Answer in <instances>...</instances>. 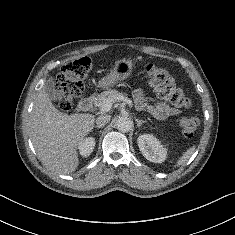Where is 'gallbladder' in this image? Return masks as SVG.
I'll return each mask as SVG.
<instances>
[{
    "label": "gallbladder",
    "mask_w": 235,
    "mask_h": 235,
    "mask_svg": "<svg viewBox=\"0 0 235 235\" xmlns=\"http://www.w3.org/2000/svg\"><path fill=\"white\" fill-rule=\"evenodd\" d=\"M45 90L51 99H54L56 97L57 91L55 88V81L52 77L48 79Z\"/></svg>",
    "instance_id": "obj_1"
}]
</instances>
